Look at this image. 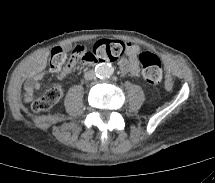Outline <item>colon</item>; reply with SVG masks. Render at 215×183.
<instances>
[{"label": "colon", "mask_w": 215, "mask_h": 183, "mask_svg": "<svg viewBox=\"0 0 215 183\" xmlns=\"http://www.w3.org/2000/svg\"><path fill=\"white\" fill-rule=\"evenodd\" d=\"M126 50V44L121 41L101 39L94 43L88 50L83 46H77L71 52L70 58L76 63L79 62H114ZM69 58V60H70ZM143 66L144 79L151 85L158 84L162 79L161 62L157 55L146 51L139 55ZM67 54L63 47L57 46L51 51L49 67L52 71H58L65 64ZM62 87L54 85L48 88L44 94L31 103L34 112H45L50 110L61 98Z\"/></svg>", "instance_id": "obj_1"}]
</instances>
